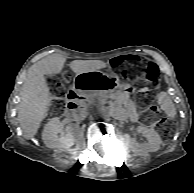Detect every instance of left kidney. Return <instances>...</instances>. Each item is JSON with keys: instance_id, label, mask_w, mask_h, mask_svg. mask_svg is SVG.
<instances>
[{"instance_id": "obj_1", "label": "left kidney", "mask_w": 194, "mask_h": 193, "mask_svg": "<svg viewBox=\"0 0 194 193\" xmlns=\"http://www.w3.org/2000/svg\"><path fill=\"white\" fill-rule=\"evenodd\" d=\"M137 130L148 139V142L140 144L136 140H131L129 146L133 153L137 154L138 156H145L149 152L159 150L161 138L154 129L139 126Z\"/></svg>"}]
</instances>
